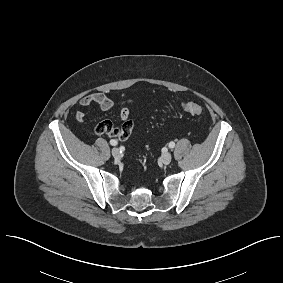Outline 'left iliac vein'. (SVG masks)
<instances>
[{"label": "left iliac vein", "instance_id": "4c4485c4", "mask_svg": "<svg viewBox=\"0 0 283 283\" xmlns=\"http://www.w3.org/2000/svg\"><path fill=\"white\" fill-rule=\"evenodd\" d=\"M172 160V155L170 152H166L161 156V161L163 164L168 165Z\"/></svg>", "mask_w": 283, "mask_h": 283}]
</instances>
